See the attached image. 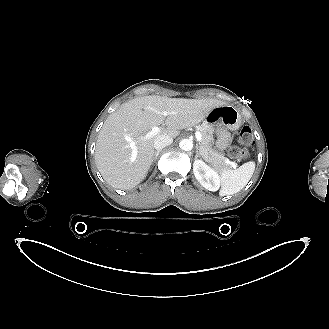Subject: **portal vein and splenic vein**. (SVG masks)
<instances>
[{
	"label": "portal vein and splenic vein",
	"instance_id": "portal-vein-and-splenic-vein-1",
	"mask_svg": "<svg viewBox=\"0 0 329 329\" xmlns=\"http://www.w3.org/2000/svg\"><path fill=\"white\" fill-rule=\"evenodd\" d=\"M162 114L164 115V116H167L168 115V112L167 111H164V112H162ZM159 131H160V128L159 127H157V126H154V127H152V130L151 131H149L146 135H145V138H147V139H149V138H151V137H153V136H155V135H157V133H159ZM195 136H196V139H197V141L198 142H200L201 140H202V135H201V133L200 132H196V134H195ZM125 140L126 141H128V142H130V147L132 148V155L135 157L136 155H137V148H136V146H135V143L132 141V139L129 137V136H125ZM233 166H235V163H231Z\"/></svg>",
	"mask_w": 329,
	"mask_h": 329
}]
</instances>
